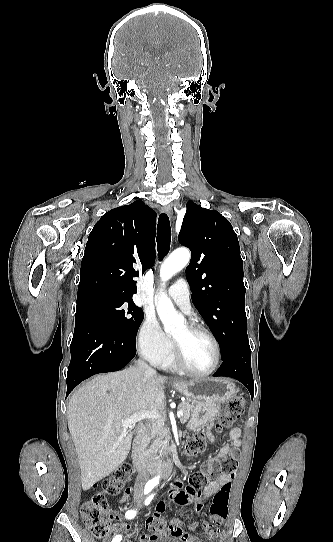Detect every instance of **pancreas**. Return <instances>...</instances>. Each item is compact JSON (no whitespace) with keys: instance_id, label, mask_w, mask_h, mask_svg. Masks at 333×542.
<instances>
[{"instance_id":"obj_1","label":"pancreas","mask_w":333,"mask_h":542,"mask_svg":"<svg viewBox=\"0 0 333 542\" xmlns=\"http://www.w3.org/2000/svg\"><path fill=\"white\" fill-rule=\"evenodd\" d=\"M192 408L190 402H181L179 404L178 412H183V416L180 418L181 422L190 420ZM170 438L169 428H165L164 420H156L146 430V436L142 438L143 456H146L148 460H161L164 456H168Z\"/></svg>"}]
</instances>
